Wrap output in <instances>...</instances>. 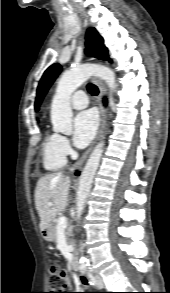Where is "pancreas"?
Here are the masks:
<instances>
[{"label": "pancreas", "mask_w": 170, "mask_h": 293, "mask_svg": "<svg viewBox=\"0 0 170 293\" xmlns=\"http://www.w3.org/2000/svg\"><path fill=\"white\" fill-rule=\"evenodd\" d=\"M58 219L59 218L54 219L53 224L50 226L53 241H56V238H57V222H58ZM65 236H66L67 242H69V243L72 242V240L70 239V237L72 236V226L66 227Z\"/></svg>", "instance_id": "cf45deb5"}]
</instances>
